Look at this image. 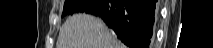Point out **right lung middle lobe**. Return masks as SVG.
<instances>
[{
  "label": "right lung middle lobe",
  "instance_id": "obj_1",
  "mask_svg": "<svg viewBox=\"0 0 213 48\" xmlns=\"http://www.w3.org/2000/svg\"><path fill=\"white\" fill-rule=\"evenodd\" d=\"M90 0H65L62 17L66 14L83 12Z\"/></svg>",
  "mask_w": 213,
  "mask_h": 48
}]
</instances>
